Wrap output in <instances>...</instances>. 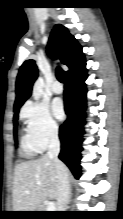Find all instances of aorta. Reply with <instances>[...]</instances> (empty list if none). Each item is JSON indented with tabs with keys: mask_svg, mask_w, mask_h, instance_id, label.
Segmentation results:
<instances>
[{
	"mask_svg": "<svg viewBox=\"0 0 123 219\" xmlns=\"http://www.w3.org/2000/svg\"><path fill=\"white\" fill-rule=\"evenodd\" d=\"M44 80L39 77L33 85L32 96L35 100H39L43 94Z\"/></svg>",
	"mask_w": 123,
	"mask_h": 219,
	"instance_id": "obj_1",
	"label": "aorta"
}]
</instances>
